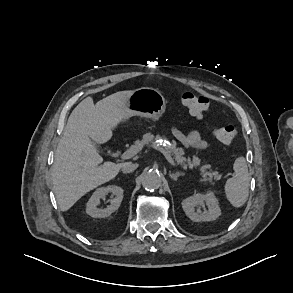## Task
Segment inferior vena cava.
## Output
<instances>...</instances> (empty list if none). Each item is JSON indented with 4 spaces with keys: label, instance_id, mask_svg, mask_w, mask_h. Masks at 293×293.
<instances>
[{
    "label": "inferior vena cava",
    "instance_id": "1",
    "mask_svg": "<svg viewBox=\"0 0 293 293\" xmlns=\"http://www.w3.org/2000/svg\"><path fill=\"white\" fill-rule=\"evenodd\" d=\"M138 167L137 163L126 162L122 165L123 173H131Z\"/></svg>",
    "mask_w": 293,
    "mask_h": 293
}]
</instances>
